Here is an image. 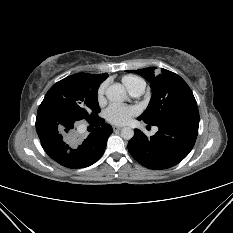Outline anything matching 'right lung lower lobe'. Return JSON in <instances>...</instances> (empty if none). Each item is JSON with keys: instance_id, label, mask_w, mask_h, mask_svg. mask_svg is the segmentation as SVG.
Segmentation results:
<instances>
[{"instance_id": "1", "label": "right lung lower lobe", "mask_w": 233, "mask_h": 233, "mask_svg": "<svg viewBox=\"0 0 233 233\" xmlns=\"http://www.w3.org/2000/svg\"><path fill=\"white\" fill-rule=\"evenodd\" d=\"M89 123L96 128L85 139L76 136L75 123L60 122L52 114L37 115L36 129L43 149L54 161L78 169L92 165L102 156L113 132L100 117Z\"/></svg>"}]
</instances>
